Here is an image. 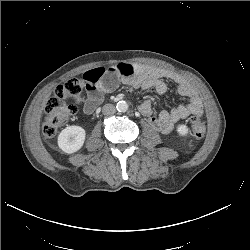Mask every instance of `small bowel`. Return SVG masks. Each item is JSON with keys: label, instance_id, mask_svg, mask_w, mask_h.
Returning a JSON list of instances; mask_svg holds the SVG:
<instances>
[{"label": "small bowel", "instance_id": "1", "mask_svg": "<svg viewBox=\"0 0 250 250\" xmlns=\"http://www.w3.org/2000/svg\"><path fill=\"white\" fill-rule=\"evenodd\" d=\"M165 79L177 84L179 94L187 100V103L176 106L170 111L161 110L154 116L151 101L145 100L139 110L148 117L157 131L167 134L181 119L190 115L201 116L203 104L196 90L184 78L166 69L128 63L90 69L83 75L87 92L83 110L86 114L93 113L104 96L113 91L120 81L133 88L154 89L157 93L164 94L168 89Z\"/></svg>", "mask_w": 250, "mask_h": 250}]
</instances>
